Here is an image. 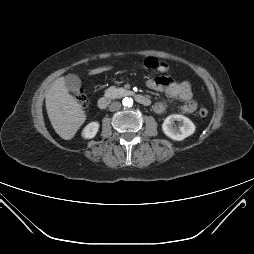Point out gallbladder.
<instances>
[{
  "label": "gallbladder",
  "instance_id": "1",
  "mask_svg": "<svg viewBox=\"0 0 254 254\" xmlns=\"http://www.w3.org/2000/svg\"><path fill=\"white\" fill-rule=\"evenodd\" d=\"M65 86L71 92H76L81 87V80L75 74H69L65 76Z\"/></svg>",
  "mask_w": 254,
  "mask_h": 254
}]
</instances>
